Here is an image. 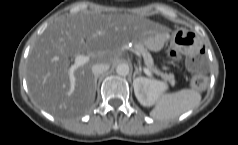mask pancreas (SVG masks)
Wrapping results in <instances>:
<instances>
[{
	"instance_id": "pancreas-1",
	"label": "pancreas",
	"mask_w": 238,
	"mask_h": 145,
	"mask_svg": "<svg viewBox=\"0 0 238 145\" xmlns=\"http://www.w3.org/2000/svg\"><path fill=\"white\" fill-rule=\"evenodd\" d=\"M134 50L141 54L145 65L147 66V68L155 73L156 75L160 76L162 79H164L165 81H168L172 86L175 84V79H174V75L173 74H167V73H163L161 72L155 65H154V61L153 58L151 56V54L149 53V51L144 47V45L142 43H135L134 45Z\"/></svg>"
}]
</instances>
